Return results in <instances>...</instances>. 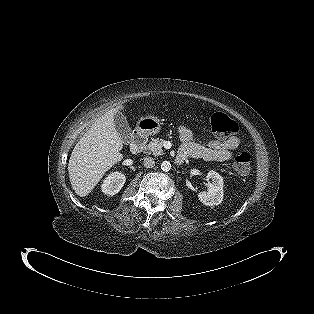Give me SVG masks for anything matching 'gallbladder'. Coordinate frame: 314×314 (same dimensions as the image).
Instances as JSON below:
<instances>
[{
  "instance_id": "bac80fb5",
  "label": "gallbladder",
  "mask_w": 314,
  "mask_h": 314,
  "mask_svg": "<svg viewBox=\"0 0 314 314\" xmlns=\"http://www.w3.org/2000/svg\"><path fill=\"white\" fill-rule=\"evenodd\" d=\"M114 123L122 142L125 145H129L132 141V131L126 117L121 112H117L114 116Z\"/></svg>"
}]
</instances>
